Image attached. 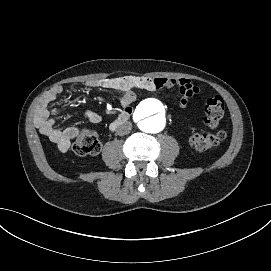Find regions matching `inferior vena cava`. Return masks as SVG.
<instances>
[{
  "label": "inferior vena cava",
  "instance_id": "inferior-vena-cava-1",
  "mask_svg": "<svg viewBox=\"0 0 271 271\" xmlns=\"http://www.w3.org/2000/svg\"><path fill=\"white\" fill-rule=\"evenodd\" d=\"M130 130H131V125L130 123L126 122L117 127L116 134L121 135V136L126 135L130 132Z\"/></svg>",
  "mask_w": 271,
  "mask_h": 271
}]
</instances>
